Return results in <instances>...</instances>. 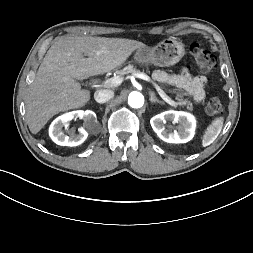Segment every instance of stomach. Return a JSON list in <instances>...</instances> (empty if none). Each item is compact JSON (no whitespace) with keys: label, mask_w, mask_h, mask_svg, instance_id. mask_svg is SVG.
<instances>
[{"label":"stomach","mask_w":253,"mask_h":253,"mask_svg":"<svg viewBox=\"0 0 253 253\" xmlns=\"http://www.w3.org/2000/svg\"><path fill=\"white\" fill-rule=\"evenodd\" d=\"M185 55L184 44L176 38H168L153 48L137 49L134 60L140 64L152 63L165 67L178 63Z\"/></svg>","instance_id":"stomach-1"}]
</instances>
